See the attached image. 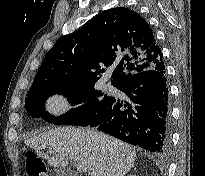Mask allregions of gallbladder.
<instances>
[{
    "label": "gallbladder",
    "mask_w": 205,
    "mask_h": 176,
    "mask_svg": "<svg viewBox=\"0 0 205 176\" xmlns=\"http://www.w3.org/2000/svg\"><path fill=\"white\" fill-rule=\"evenodd\" d=\"M56 176H70V171L66 168H59L56 170Z\"/></svg>",
    "instance_id": "obj_1"
}]
</instances>
